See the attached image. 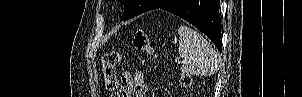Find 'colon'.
Wrapping results in <instances>:
<instances>
[{
	"label": "colon",
	"mask_w": 302,
	"mask_h": 97,
	"mask_svg": "<svg viewBox=\"0 0 302 97\" xmlns=\"http://www.w3.org/2000/svg\"><path fill=\"white\" fill-rule=\"evenodd\" d=\"M135 47L149 55H154V49L152 44L142 29H137L133 39ZM122 56L119 52L111 51L102 56V73L107 92L113 93L118 87V76L116 67L121 62ZM191 79L188 75L182 74L180 76V83L183 85H189Z\"/></svg>",
	"instance_id": "obj_1"
}]
</instances>
